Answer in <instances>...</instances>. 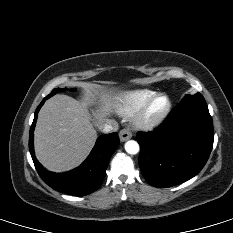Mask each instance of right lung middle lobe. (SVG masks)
<instances>
[{"label":"right lung middle lobe","instance_id":"obj_1","mask_svg":"<svg viewBox=\"0 0 233 233\" xmlns=\"http://www.w3.org/2000/svg\"><path fill=\"white\" fill-rule=\"evenodd\" d=\"M66 89L63 88H56V89H53L52 92L46 97V98H50L51 96H53L56 92H60V91H65Z\"/></svg>","mask_w":233,"mask_h":233}]
</instances>
